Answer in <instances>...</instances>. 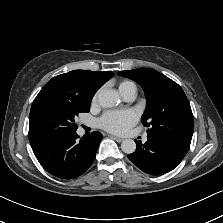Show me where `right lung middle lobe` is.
<instances>
[{
    "instance_id": "obj_1",
    "label": "right lung middle lobe",
    "mask_w": 223,
    "mask_h": 223,
    "mask_svg": "<svg viewBox=\"0 0 223 223\" xmlns=\"http://www.w3.org/2000/svg\"><path fill=\"white\" fill-rule=\"evenodd\" d=\"M90 104H81L52 93H40L34 99L29 118L31 146L46 144L57 138L75 133V117L89 112Z\"/></svg>"
}]
</instances>
